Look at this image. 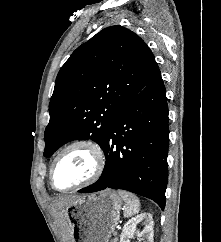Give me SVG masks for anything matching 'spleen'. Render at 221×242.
Listing matches in <instances>:
<instances>
[{"label": "spleen", "instance_id": "3e777b00", "mask_svg": "<svg viewBox=\"0 0 221 242\" xmlns=\"http://www.w3.org/2000/svg\"><path fill=\"white\" fill-rule=\"evenodd\" d=\"M119 195L125 202L124 216L131 217L140 211V201L138 197L127 191H119Z\"/></svg>", "mask_w": 221, "mask_h": 242}]
</instances>
